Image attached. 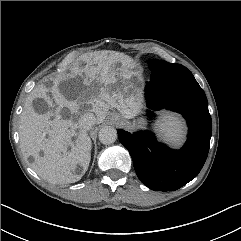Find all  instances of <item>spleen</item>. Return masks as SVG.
I'll list each match as a JSON object with an SVG mask.
<instances>
[{
  "label": "spleen",
  "instance_id": "obj_1",
  "mask_svg": "<svg viewBox=\"0 0 241 241\" xmlns=\"http://www.w3.org/2000/svg\"><path fill=\"white\" fill-rule=\"evenodd\" d=\"M159 130L169 141L179 142L182 138L184 126L177 117L165 115L163 123L159 125Z\"/></svg>",
  "mask_w": 241,
  "mask_h": 241
}]
</instances>
